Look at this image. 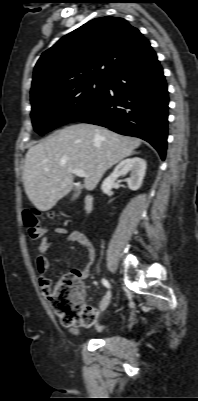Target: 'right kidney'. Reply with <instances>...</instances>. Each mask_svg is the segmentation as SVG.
Here are the masks:
<instances>
[{
	"label": "right kidney",
	"mask_w": 198,
	"mask_h": 401,
	"mask_svg": "<svg viewBox=\"0 0 198 401\" xmlns=\"http://www.w3.org/2000/svg\"><path fill=\"white\" fill-rule=\"evenodd\" d=\"M131 172L129 178L126 179L128 187L132 191L138 190L146 172V161L139 157L128 158L121 161L114 171L103 181L101 189L104 194H110L114 186L115 180L123 175Z\"/></svg>",
	"instance_id": "obj_1"
}]
</instances>
